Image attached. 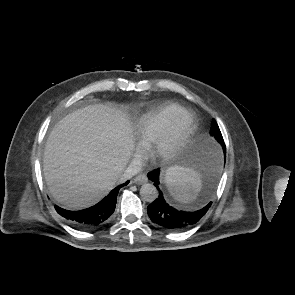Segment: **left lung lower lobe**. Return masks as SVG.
I'll use <instances>...</instances> for the list:
<instances>
[{
  "mask_svg": "<svg viewBox=\"0 0 295 295\" xmlns=\"http://www.w3.org/2000/svg\"><path fill=\"white\" fill-rule=\"evenodd\" d=\"M225 154V148H223ZM159 169H156L148 174V178L154 182V185L159 189ZM211 202L202 209L194 212H186L176 210L169 206L163 198L160 191L159 197L147 207V212L155 224L169 231H182L198 222L208 211Z\"/></svg>",
  "mask_w": 295,
  "mask_h": 295,
  "instance_id": "left-lung-lower-lobe-1",
  "label": "left lung lower lobe"
}]
</instances>
